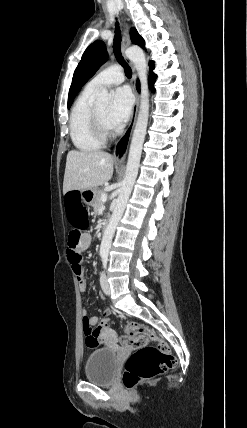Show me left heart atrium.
<instances>
[{"instance_id":"obj_1","label":"left heart atrium","mask_w":247,"mask_h":428,"mask_svg":"<svg viewBox=\"0 0 247 428\" xmlns=\"http://www.w3.org/2000/svg\"><path fill=\"white\" fill-rule=\"evenodd\" d=\"M133 99L127 88H118L108 107L106 120L111 129L122 127L130 117Z\"/></svg>"}]
</instances>
